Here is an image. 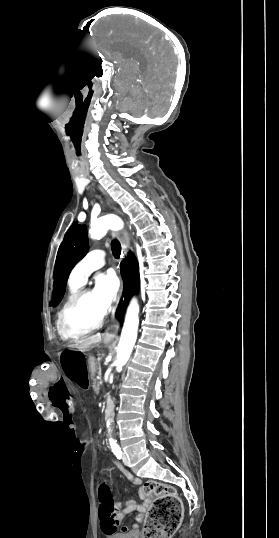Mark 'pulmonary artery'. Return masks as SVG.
Masks as SVG:
<instances>
[{
    "instance_id": "1",
    "label": "pulmonary artery",
    "mask_w": 279,
    "mask_h": 538,
    "mask_svg": "<svg viewBox=\"0 0 279 538\" xmlns=\"http://www.w3.org/2000/svg\"><path fill=\"white\" fill-rule=\"evenodd\" d=\"M105 264V256L96 258L94 253H90L83 258L75 267L72 279L79 283H85L90 274Z\"/></svg>"
}]
</instances>
